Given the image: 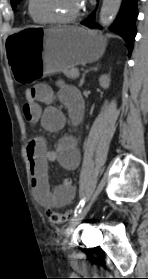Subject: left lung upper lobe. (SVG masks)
I'll return each mask as SVG.
<instances>
[{
    "mask_svg": "<svg viewBox=\"0 0 148 279\" xmlns=\"http://www.w3.org/2000/svg\"><path fill=\"white\" fill-rule=\"evenodd\" d=\"M20 1H21V0H11L12 8L15 9V8H16V5H17Z\"/></svg>",
    "mask_w": 148,
    "mask_h": 279,
    "instance_id": "5c2ea615",
    "label": "left lung upper lobe"
}]
</instances>
